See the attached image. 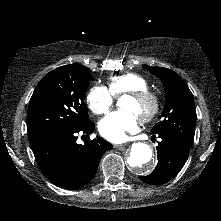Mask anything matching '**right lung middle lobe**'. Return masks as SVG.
Here are the masks:
<instances>
[{
    "label": "right lung middle lobe",
    "instance_id": "dd1d6c3e",
    "mask_svg": "<svg viewBox=\"0 0 221 221\" xmlns=\"http://www.w3.org/2000/svg\"><path fill=\"white\" fill-rule=\"evenodd\" d=\"M91 80L90 69L79 64L61 66L45 75L28 106L30 144L51 133L79 129L88 122L84 96Z\"/></svg>",
    "mask_w": 221,
    "mask_h": 221
}]
</instances>
